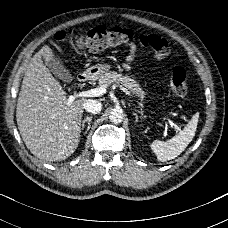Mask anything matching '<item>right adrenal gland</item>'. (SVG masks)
<instances>
[{
	"instance_id": "2a0ac1e0",
	"label": "right adrenal gland",
	"mask_w": 228,
	"mask_h": 228,
	"mask_svg": "<svg viewBox=\"0 0 228 228\" xmlns=\"http://www.w3.org/2000/svg\"><path fill=\"white\" fill-rule=\"evenodd\" d=\"M92 118H93L92 116H90V117L87 116L86 118H84V120H82V122L80 124L82 129H84L85 123L88 122V127L85 131V134L90 130V122L92 121Z\"/></svg>"
}]
</instances>
